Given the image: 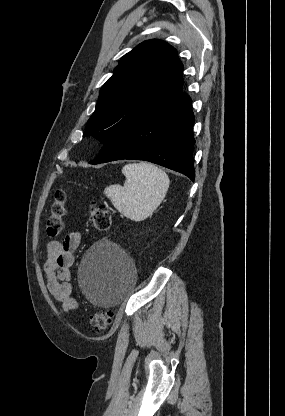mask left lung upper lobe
Returning a JSON list of instances; mask_svg holds the SVG:
<instances>
[{"label": "left lung upper lobe", "mask_w": 285, "mask_h": 416, "mask_svg": "<svg viewBox=\"0 0 285 416\" xmlns=\"http://www.w3.org/2000/svg\"><path fill=\"white\" fill-rule=\"evenodd\" d=\"M182 71L172 46L159 40L141 43L121 58L101 88L83 137L105 144L129 123L171 102L182 93Z\"/></svg>", "instance_id": "left-lung-upper-lobe-1"}]
</instances>
